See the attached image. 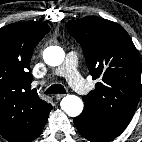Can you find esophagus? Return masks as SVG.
Returning a JSON list of instances; mask_svg holds the SVG:
<instances>
[{
    "label": "esophagus",
    "instance_id": "34e87169",
    "mask_svg": "<svg viewBox=\"0 0 142 142\" xmlns=\"http://www.w3.org/2000/svg\"><path fill=\"white\" fill-rule=\"evenodd\" d=\"M65 96V94H57L55 95V99L56 100H60L61 98H63Z\"/></svg>",
    "mask_w": 142,
    "mask_h": 142
}]
</instances>
